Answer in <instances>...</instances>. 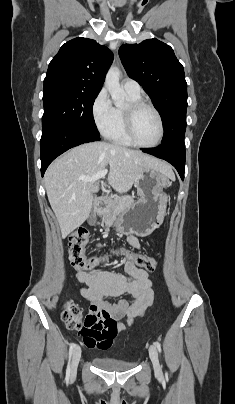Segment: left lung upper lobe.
Listing matches in <instances>:
<instances>
[{
    "instance_id": "5c2ea615",
    "label": "left lung upper lobe",
    "mask_w": 235,
    "mask_h": 404,
    "mask_svg": "<svg viewBox=\"0 0 235 404\" xmlns=\"http://www.w3.org/2000/svg\"><path fill=\"white\" fill-rule=\"evenodd\" d=\"M119 56L129 77L143 87L162 116V144L184 139L187 83L173 49L157 39H148L122 45Z\"/></svg>"
}]
</instances>
